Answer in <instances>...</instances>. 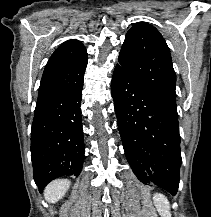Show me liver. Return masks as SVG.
I'll use <instances>...</instances> for the list:
<instances>
[{"mask_svg":"<svg viewBox=\"0 0 211 217\" xmlns=\"http://www.w3.org/2000/svg\"><path fill=\"white\" fill-rule=\"evenodd\" d=\"M70 181L69 180H55L48 184L44 190V197L49 203H56L59 201L67 190L69 189Z\"/></svg>","mask_w":211,"mask_h":217,"instance_id":"liver-1","label":"liver"}]
</instances>
